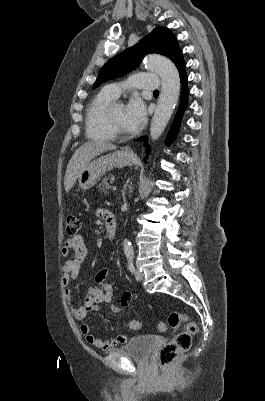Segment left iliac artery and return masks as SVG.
Masks as SVG:
<instances>
[{
  "instance_id": "left-iliac-artery-1",
  "label": "left iliac artery",
  "mask_w": 265,
  "mask_h": 401,
  "mask_svg": "<svg viewBox=\"0 0 265 401\" xmlns=\"http://www.w3.org/2000/svg\"><path fill=\"white\" fill-rule=\"evenodd\" d=\"M132 259H133V256H130V257H129V261H130V263H129V269H130V271L133 273V272H134V266H133V263H132Z\"/></svg>"
}]
</instances>
